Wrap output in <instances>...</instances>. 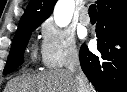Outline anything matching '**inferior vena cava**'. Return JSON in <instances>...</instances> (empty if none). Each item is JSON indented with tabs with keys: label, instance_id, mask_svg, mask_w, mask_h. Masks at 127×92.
Wrapping results in <instances>:
<instances>
[{
	"label": "inferior vena cava",
	"instance_id": "1",
	"mask_svg": "<svg viewBox=\"0 0 127 92\" xmlns=\"http://www.w3.org/2000/svg\"><path fill=\"white\" fill-rule=\"evenodd\" d=\"M67 69L75 75L78 92H88L89 85L86 77L82 73L77 50H72L67 60Z\"/></svg>",
	"mask_w": 127,
	"mask_h": 92
}]
</instances>
